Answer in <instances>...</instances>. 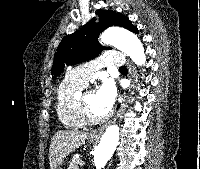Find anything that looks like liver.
I'll return each mask as SVG.
<instances>
[{
  "label": "liver",
  "instance_id": "6515ba94",
  "mask_svg": "<svg viewBox=\"0 0 200 169\" xmlns=\"http://www.w3.org/2000/svg\"><path fill=\"white\" fill-rule=\"evenodd\" d=\"M87 132L61 130L54 134L49 148L50 169H57L64 158L85 143Z\"/></svg>",
  "mask_w": 200,
  "mask_h": 169
}]
</instances>
